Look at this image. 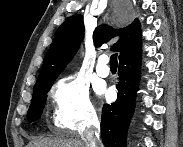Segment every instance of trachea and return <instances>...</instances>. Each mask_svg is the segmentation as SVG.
Wrapping results in <instances>:
<instances>
[{"label": "trachea", "mask_w": 183, "mask_h": 147, "mask_svg": "<svg viewBox=\"0 0 183 147\" xmlns=\"http://www.w3.org/2000/svg\"><path fill=\"white\" fill-rule=\"evenodd\" d=\"M117 53H114L110 57V67H117L118 66V60H117Z\"/></svg>", "instance_id": "trachea-1"}]
</instances>
